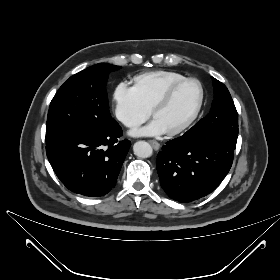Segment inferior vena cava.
<instances>
[{"label":"inferior vena cava","mask_w":280,"mask_h":280,"mask_svg":"<svg viewBox=\"0 0 280 280\" xmlns=\"http://www.w3.org/2000/svg\"><path fill=\"white\" fill-rule=\"evenodd\" d=\"M124 123H125V125H127V126H129V127L135 125V123H134L132 120H130V119L124 120Z\"/></svg>","instance_id":"602c4592"}]
</instances>
